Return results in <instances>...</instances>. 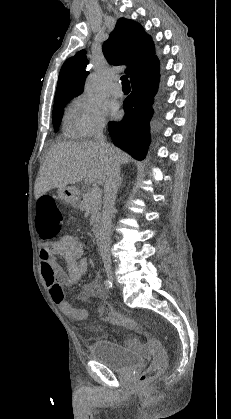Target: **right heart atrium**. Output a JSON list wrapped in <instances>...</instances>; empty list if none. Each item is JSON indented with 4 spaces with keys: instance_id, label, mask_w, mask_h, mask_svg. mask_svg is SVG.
Returning a JSON list of instances; mask_svg holds the SVG:
<instances>
[{
    "instance_id": "1",
    "label": "right heart atrium",
    "mask_w": 231,
    "mask_h": 419,
    "mask_svg": "<svg viewBox=\"0 0 231 419\" xmlns=\"http://www.w3.org/2000/svg\"><path fill=\"white\" fill-rule=\"evenodd\" d=\"M68 115L75 136L81 139L94 137L105 127L102 104L85 94L73 99Z\"/></svg>"
}]
</instances>
